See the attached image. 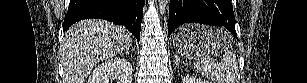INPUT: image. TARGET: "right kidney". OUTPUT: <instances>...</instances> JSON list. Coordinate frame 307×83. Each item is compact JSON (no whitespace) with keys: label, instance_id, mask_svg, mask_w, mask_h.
Instances as JSON below:
<instances>
[{"label":"right kidney","instance_id":"right-kidney-1","mask_svg":"<svg viewBox=\"0 0 307 83\" xmlns=\"http://www.w3.org/2000/svg\"><path fill=\"white\" fill-rule=\"evenodd\" d=\"M110 79L116 80V83H131V63L118 57L106 60L94 68L88 83H109Z\"/></svg>","mask_w":307,"mask_h":83}]
</instances>
